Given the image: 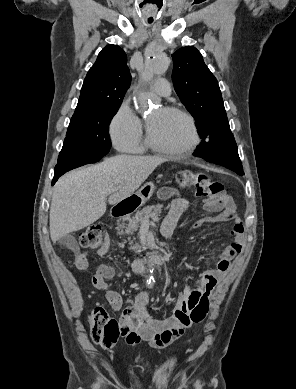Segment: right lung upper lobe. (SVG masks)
<instances>
[{
  "label": "right lung upper lobe",
  "mask_w": 296,
  "mask_h": 389,
  "mask_svg": "<svg viewBox=\"0 0 296 389\" xmlns=\"http://www.w3.org/2000/svg\"><path fill=\"white\" fill-rule=\"evenodd\" d=\"M126 63V54L119 46L107 45L102 49L87 73L71 120L97 109L120 107L131 83Z\"/></svg>",
  "instance_id": "1"
}]
</instances>
